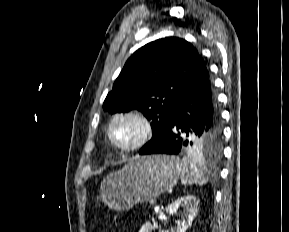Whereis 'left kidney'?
Wrapping results in <instances>:
<instances>
[{"label": "left kidney", "instance_id": "obj_1", "mask_svg": "<svg viewBox=\"0 0 289 232\" xmlns=\"http://www.w3.org/2000/svg\"><path fill=\"white\" fill-rule=\"evenodd\" d=\"M180 207L183 209L180 211L181 219L176 222V226L174 228H171V232H186L197 215L198 200L192 195L180 197L166 207V213H176ZM152 230V224L147 222L141 227L139 232H151Z\"/></svg>", "mask_w": 289, "mask_h": 232}]
</instances>
